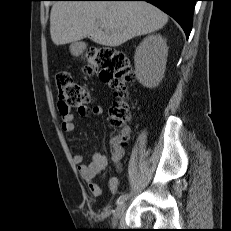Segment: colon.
Returning a JSON list of instances; mask_svg holds the SVG:
<instances>
[{
    "instance_id": "colon-1",
    "label": "colon",
    "mask_w": 231,
    "mask_h": 231,
    "mask_svg": "<svg viewBox=\"0 0 231 231\" xmlns=\"http://www.w3.org/2000/svg\"><path fill=\"white\" fill-rule=\"evenodd\" d=\"M83 72L88 76L98 74L100 79L114 90L118 100L110 109L111 124L120 125L127 121L130 113L125 97L128 94L127 87L134 81L135 76L126 54L114 47H91L86 53ZM55 81L63 114L69 113L72 108L86 106L91 101L89 92L75 82L69 73L57 72ZM126 140L127 136L121 137L122 142Z\"/></svg>"
}]
</instances>
